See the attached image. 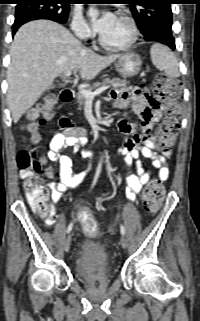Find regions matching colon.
Returning a JSON list of instances; mask_svg holds the SVG:
<instances>
[{"label":"colon","mask_w":200,"mask_h":321,"mask_svg":"<svg viewBox=\"0 0 200 321\" xmlns=\"http://www.w3.org/2000/svg\"><path fill=\"white\" fill-rule=\"evenodd\" d=\"M154 94L164 102L166 119L159 125L158 143L164 154L169 155L175 143L180 118V107L177 99L180 95V84L164 73H159L154 79ZM56 98L46 97L38 107V113L26 125L31 133L30 142L34 148H24L17 153L16 161L26 190L27 199L32 209L41 217L51 216V208L47 204L48 190L41 184L43 161L38 159L35 146L38 144L36 129L51 119L54 114ZM164 197V187L159 180H151L142 194V205L146 212L155 213L161 206ZM73 212H80L78 221L81 222L85 234L94 236L98 225L93 216L83 210L82 205H73Z\"/></svg>","instance_id":"obj_1"}]
</instances>
